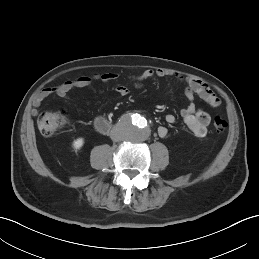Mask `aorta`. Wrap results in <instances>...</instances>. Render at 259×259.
I'll return each instance as SVG.
<instances>
[{
    "instance_id": "762f6f07",
    "label": "aorta",
    "mask_w": 259,
    "mask_h": 259,
    "mask_svg": "<svg viewBox=\"0 0 259 259\" xmlns=\"http://www.w3.org/2000/svg\"><path fill=\"white\" fill-rule=\"evenodd\" d=\"M124 137L132 142H141L148 138L150 130L147 120L139 114L127 115L123 120Z\"/></svg>"
}]
</instances>
